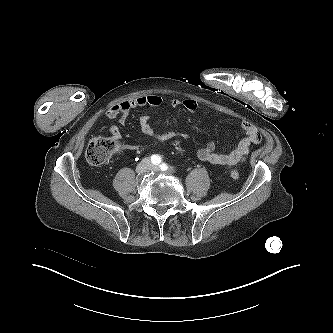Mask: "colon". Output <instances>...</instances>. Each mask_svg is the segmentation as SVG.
<instances>
[{
    "instance_id": "1",
    "label": "colon",
    "mask_w": 333,
    "mask_h": 333,
    "mask_svg": "<svg viewBox=\"0 0 333 333\" xmlns=\"http://www.w3.org/2000/svg\"><path fill=\"white\" fill-rule=\"evenodd\" d=\"M122 151L119 139L115 137H94L87 146L85 156L91 165L99 166L109 162L115 155ZM230 177L238 179L239 173L231 170Z\"/></svg>"
}]
</instances>
